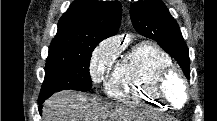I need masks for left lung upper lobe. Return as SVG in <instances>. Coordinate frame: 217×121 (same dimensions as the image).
Instances as JSON below:
<instances>
[{
  "instance_id": "5c2ea615",
  "label": "left lung upper lobe",
  "mask_w": 217,
  "mask_h": 121,
  "mask_svg": "<svg viewBox=\"0 0 217 121\" xmlns=\"http://www.w3.org/2000/svg\"><path fill=\"white\" fill-rule=\"evenodd\" d=\"M134 28L143 36L155 40L181 66L190 79V60L186 43L177 21L161 0L135 2L130 7Z\"/></svg>"
}]
</instances>
